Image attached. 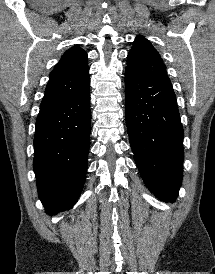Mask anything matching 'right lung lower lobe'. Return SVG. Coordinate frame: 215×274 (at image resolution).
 Instances as JSON below:
<instances>
[{"label":"right lung lower lobe","instance_id":"obj_1","mask_svg":"<svg viewBox=\"0 0 215 274\" xmlns=\"http://www.w3.org/2000/svg\"><path fill=\"white\" fill-rule=\"evenodd\" d=\"M89 135V83L73 97L40 109L33 168L47 214L70 209L78 200L87 171Z\"/></svg>","mask_w":215,"mask_h":274}]
</instances>
